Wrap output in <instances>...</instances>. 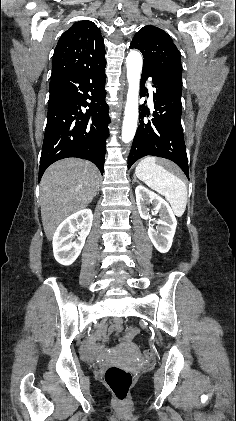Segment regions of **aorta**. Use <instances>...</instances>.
<instances>
[{"label":"aorta","mask_w":236,"mask_h":421,"mask_svg":"<svg viewBox=\"0 0 236 421\" xmlns=\"http://www.w3.org/2000/svg\"><path fill=\"white\" fill-rule=\"evenodd\" d=\"M128 92L122 124V140L130 142L134 138L138 120L139 86L142 70V56L137 50H131L126 58Z\"/></svg>","instance_id":"obj_1"}]
</instances>
